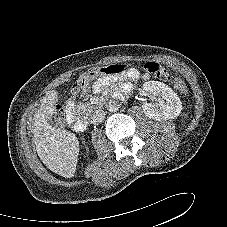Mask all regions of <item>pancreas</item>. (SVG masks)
<instances>
[{
    "label": "pancreas",
    "instance_id": "pancreas-1",
    "mask_svg": "<svg viewBox=\"0 0 227 227\" xmlns=\"http://www.w3.org/2000/svg\"><path fill=\"white\" fill-rule=\"evenodd\" d=\"M93 106L90 103H80L78 105V110H81L85 113L91 112L93 110Z\"/></svg>",
    "mask_w": 227,
    "mask_h": 227
}]
</instances>
